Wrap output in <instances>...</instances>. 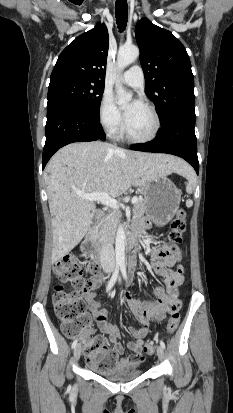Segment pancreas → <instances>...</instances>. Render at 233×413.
Wrapping results in <instances>:
<instances>
[{
  "label": "pancreas",
  "instance_id": "1",
  "mask_svg": "<svg viewBox=\"0 0 233 413\" xmlns=\"http://www.w3.org/2000/svg\"><path fill=\"white\" fill-rule=\"evenodd\" d=\"M145 211L144 200H138L133 206V216L139 218L144 215ZM119 221V217L116 214H110L104 223L99 224L94 229L93 239L99 243L113 239Z\"/></svg>",
  "mask_w": 233,
  "mask_h": 413
}]
</instances>
